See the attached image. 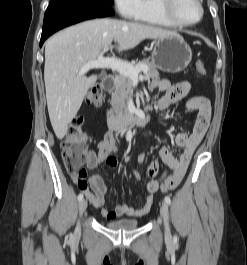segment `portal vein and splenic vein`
<instances>
[{
    "label": "portal vein and splenic vein",
    "mask_w": 247,
    "mask_h": 265,
    "mask_svg": "<svg viewBox=\"0 0 247 265\" xmlns=\"http://www.w3.org/2000/svg\"><path fill=\"white\" fill-rule=\"evenodd\" d=\"M106 51H108V48H105L102 54L96 60L84 63L80 69L79 75H83L88 70L94 68H110L112 70L118 71L121 75L130 77L133 80H137L140 71L147 72V67L145 65L133 66L118 59L104 58L103 53Z\"/></svg>",
    "instance_id": "1"
}]
</instances>
